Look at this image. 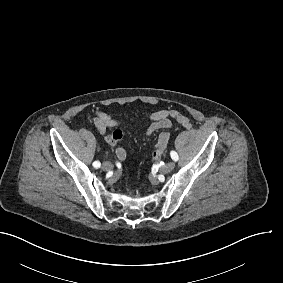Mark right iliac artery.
<instances>
[{
	"label": "right iliac artery",
	"instance_id": "82829eb1",
	"mask_svg": "<svg viewBox=\"0 0 283 283\" xmlns=\"http://www.w3.org/2000/svg\"><path fill=\"white\" fill-rule=\"evenodd\" d=\"M100 165H101V163H100L99 161L93 162V166H94L95 168H99Z\"/></svg>",
	"mask_w": 283,
	"mask_h": 283
}]
</instances>
